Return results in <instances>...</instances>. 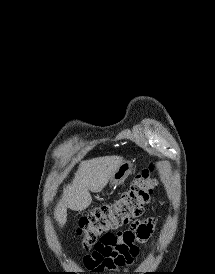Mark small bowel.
<instances>
[{
	"mask_svg": "<svg viewBox=\"0 0 215 274\" xmlns=\"http://www.w3.org/2000/svg\"><path fill=\"white\" fill-rule=\"evenodd\" d=\"M155 223L151 218L136 221L125 231L105 234L83 259L91 272L118 271L131 266L139 254V243L152 236Z\"/></svg>",
	"mask_w": 215,
	"mask_h": 274,
	"instance_id": "obj_1",
	"label": "small bowel"
}]
</instances>
